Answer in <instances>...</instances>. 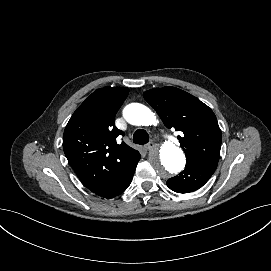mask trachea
Masks as SVG:
<instances>
[{
  "label": "trachea",
  "instance_id": "obj_1",
  "mask_svg": "<svg viewBox=\"0 0 271 271\" xmlns=\"http://www.w3.org/2000/svg\"><path fill=\"white\" fill-rule=\"evenodd\" d=\"M149 142V134L143 129H137L133 135V143L144 145Z\"/></svg>",
  "mask_w": 271,
  "mask_h": 271
}]
</instances>
